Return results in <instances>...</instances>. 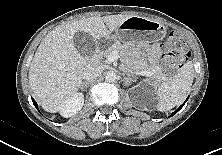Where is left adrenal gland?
<instances>
[{
	"label": "left adrenal gland",
	"instance_id": "1",
	"mask_svg": "<svg viewBox=\"0 0 222 155\" xmlns=\"http://www.w3.org/2000/svg\"><path fill=\"white\" fill-rule=\"evenodd\" d=\"M124 79H125L126 83H130V81H131V78H129V77H125Z\"/></svg>",
	"mask_w": 222,
	"mask_h": 155
}]
</instances>
